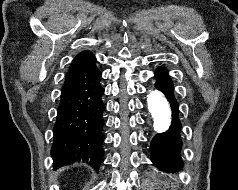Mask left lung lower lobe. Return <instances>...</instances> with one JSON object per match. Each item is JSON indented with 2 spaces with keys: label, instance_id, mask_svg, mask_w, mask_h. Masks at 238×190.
<instances>
[{
  "label": "left lung lower lobe",
  "instance_id": "left-lung-lower-lobe-1",
  "mask_svg": "<svg viewBox=\"0 0 238 190\" xmlns=\"http://www.w3.org/2000/svg\"><path fill=\"white\" fill-rule=\"evenodd\" d=\"M157 78L155 87L162 91L168 99L172 109V123L170 128L157 134L151 142V156L153 163L163 171H177L183 167L180 157L182 140L180 137L181 123L179 120V105L174 97V86L169 78L168 70L160 66L155 71Z\"/></svg>",
  "mask_w": 238,
  "mask_h": 190
}]
</instances>
